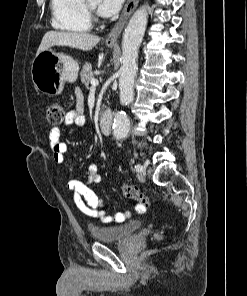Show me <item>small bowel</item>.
Here are the masks:
<instances>
[{
  "instance_id": "small-bowel-1",
  "label": "small bowel",
  "mask_w": 247,
  "mask_h": 296,
  "mask_svg": "<svg viewBox=\"0 0 247 296\" xmlns=\"http://www.w3.org/2000/svg\"><path fill=\"white\" fill-rule=\"evenodd\" d=\"M66 126L84 127L86 118L83 114V97L79 90L76 91V108L67 113L65 118ZM60 128H52L49 134V141L52 148L53 160L56 164H62L68 153V146L60 140ZM97 165L91 164L85 173L84 180L69 179L67 187L73 192V200L77 208L85 215L100 220L104 223H118L130 217V212H119L115 215L107 213L103 200L91 187V184L99 183ZM141 210V206H137Z\"/></svg>"
}]
</instances>
